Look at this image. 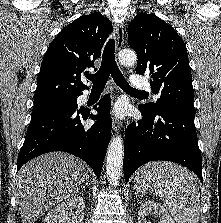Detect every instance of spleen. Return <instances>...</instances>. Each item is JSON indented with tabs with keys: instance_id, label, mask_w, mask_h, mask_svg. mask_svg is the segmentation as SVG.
Segmentation results:
<instances>
[{
	"instance_id": "3e777b00",
	"label": "spleen",
	"mask_w": 221,
	"mask_h": 223,
	"mask_svg": "<svg viewBox=\"0 0 221 223\" xmlns=\"http://www.w3.org/2000/svg\"><path fill=\"white\" fill-rule=\"evenodd\" d=\"M134 189L141 193L153 189L176 223H198L199 188L186 168L171 162H150L135 173Z\"/></svg>"
}]
</instances>
